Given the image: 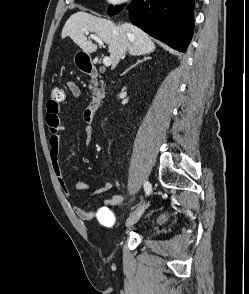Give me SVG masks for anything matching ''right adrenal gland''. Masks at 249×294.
Returning <instances> with one entry per match:
<instances>
[{"instance_id": "obj_1", "label": "right adrenal gland", "mask_w": 249, "mask_h": 294, "mask_svg": "<svg viewBox=\"0 0 249 294\" xmlns=\"http://www.w3.org/2000/svg\"><path fill=\"white\" fill-rule=\"evenodd\" d=\"M150 59H151V57H143V59L138 60L135 64H133L131 67H129V68L125 71V73H126L127 71H129L130 69H132L133 67H135L136 65H138L139 63H142L143 61H147V60H150Z\"/></svg>"}]
</instances>
